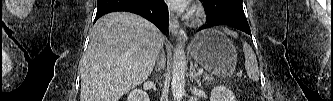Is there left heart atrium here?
I'll return each mask as SVG.
<instances>
[{
  "instance_id": "1",
  "label": "left heart atrium",
  "mask_w": 333,
  "mask_h": 101,
  "mask_svg": "<svg viewBox=\"0 0 333 101\" xmlns=\"http://www.w3.org/2000/svg\"><path fill=\"white\" fill-rule=\"evenodd\" d=\"M169 6L174 10L181 11V10H184V9L188 8L189 1H186V0H171L169 2Z\"/></svg>"
}]
</instances>
